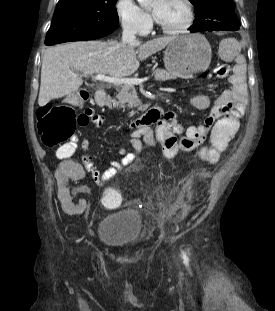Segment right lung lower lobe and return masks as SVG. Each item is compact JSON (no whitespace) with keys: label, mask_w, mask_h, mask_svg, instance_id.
<instances>
[{"label":"right lung lower lobe","mask_w":275,"mask_h":311,"mask_svg":"<svg viewBox=\"0 0 275 311\" xmlns=\"http://www.w3.org/2000/svg\"><path fill=\"white\" fill-rule=\"evenodd\" d=\"M81 40H90V39H79V40H75V41H81Z\"/></svg>","instance_id":"obj_1"}]
</instances>
